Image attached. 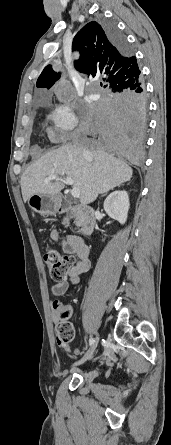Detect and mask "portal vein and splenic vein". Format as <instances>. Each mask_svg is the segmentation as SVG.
I'll return each mask as SVG.
<instances>
[{
    "mask_svg": "<svg viewBox=\"0 0 171 445\" xmlns=\"http://www.w3.org/2000/svg\"><path fill=\"white\" fill-rule=\"evenodd\" d=\"M57 179H59L58 176H56V175H51V176L47 177V178L44 180V182H45V183H48V182H50V181H52V180H57ZM65 182H66L67 185H73V184H74L73 179L70 178V177H66ZM71 195H72L74 198H79V197H80V190H79V188L74 187V188L71 190Z\"/></svg>",
    "mask_w": 171,
    "mask_h": 445,
    "instance_id": "1",
    "label": "portal vein and splenic vein"
}]
</instances>
